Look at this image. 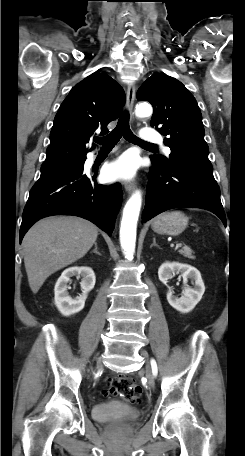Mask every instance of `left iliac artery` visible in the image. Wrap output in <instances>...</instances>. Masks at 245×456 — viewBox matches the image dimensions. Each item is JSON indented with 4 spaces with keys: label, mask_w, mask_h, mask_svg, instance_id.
Instances as JSON below:
<instances>
[{
    "label": "left iliac artery",
    "mask_w": 245,
    "mask_h": 456,
    "mask_svg": "<svg viewBox=\"0 0 245 456\" xmlns=\"http://www.w3.org/2000/svg\"><path fill=\"white\" fill-rule=\"evenodd\" d=\"M151 366H152L153 375L156 376L158 373V368H157L156 361L154 359L151 360Z\"/></svg>",
    "instance_id": "44dca946"
}]
</instances>
